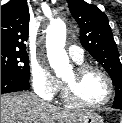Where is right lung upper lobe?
Wrapping results in <instances>:
<instances>
[{
  "instance_id": "right-lung-upper-lobe-1",
  "label": "right lung upper lobe",
  "mask_w": 122,
  "mask_h": 123,
  "mask_svg": "<svg viewBox=\"0 0 122 123\" xmlns=\"http://www.w3.org/2000/svg\"><path fill=\"white\" fill-rule=\"evenodd\" d=\"M26 0H10L1 6V51L26 52L29 34Z\"/></svg>"
}]
</instances>
